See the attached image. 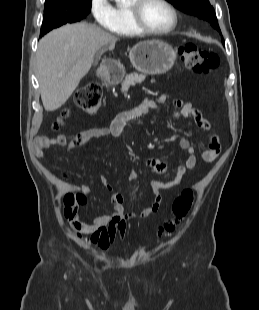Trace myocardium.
Listing matches in <instances>:
<instances>
[{
	"mask_svg": "<svg viewBox=\"0 0 259 310\" xmlns=\"http://www.w3.org/2000/svg\"><path fill=\"white\" fill-rule=\"evenodd\" d=\"M148 1L149 0H133L128 5L129 17H130L131 23L134 26V28L139 33L153 35V36H164V35H167L173 32L179 24V14L175 6L169 0H159L172 13L173 22L166 29L155 30V29L150 28L148 25H146L142 17L143 8Z\"/></svg>",
	"mask_w": 259,
	"mask_h": 310,
	"instance_id": "obj_1",
	"label": "myocardium"
}]
</instances>
